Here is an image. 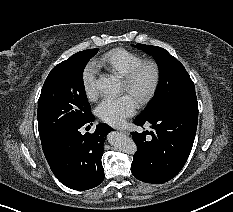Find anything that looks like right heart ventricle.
<instances>
[{
	"instance_id": "e07e8e85",
	"label": "right heart ventricle",
	"mask_w": 233,
	"mask_h": 212,
	"mask_svg": "<svg viewBox=\"0 0 233 212\" xmlns=\"http://www.w3.org/2000/svg\"><path fill=\"white\" fill-rule=\"evenodd\" d=\"M142 61V56L135 52L125 48H115L103 54L96 64L124 77Z\"/></svg>"
}]
</instances>
